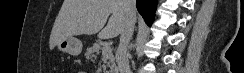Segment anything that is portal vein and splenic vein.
Wrapping results in <instances>:
<instances>
[{
	"label": "portal vein and splenic vein",
	"instance_id": "1",
	"mask_svg": "<svg viewBox=\"0 0 244 73\" xmlns=\"http://www.w3.org/2000/svg\"><path fill=\"white\" fill-rule=\"evenodd\" d=\"M108 52H111V48L108 46H105L102 48V55H106Z\"/></svg>",
	"mask_w": 244,
	"mask_h": 73
}]
</instances>
